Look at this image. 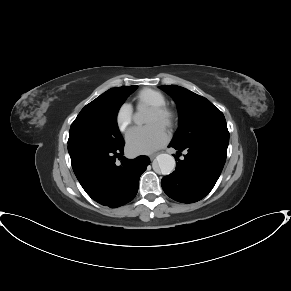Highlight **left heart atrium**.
I'll return each instance as SVG.
<instances>
[{
  "mask_svg": "<svg viewBox=\"0 0 291 291\" xmlns=\"http://www.w3.org/2000/svg\"><path fill=\"white\" fill-rule=\"evenodd\" d=\"M168 134L159 123L132 130L126 139L127 151L132 155L148 154L162 147Z\"/></svg>",
  "mask_w": 291,
  "mask_h": 291,
  "instance_id": "39dd6f15",
  "label": "left heart atrium"
}]
</instances>
